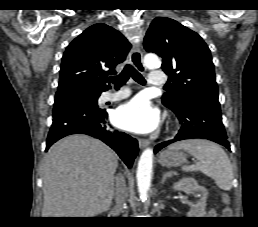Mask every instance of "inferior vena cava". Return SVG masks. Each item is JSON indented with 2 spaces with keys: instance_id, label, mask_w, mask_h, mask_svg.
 <instances>
[{
  "instance_id": "obj_1",
  "label": "inferior vena cava",
  "mask_w": 258,
  "mask_h": 227,
  "mask_svg": "<svg viewBox=\"0 0 258 227\" xmlns=\"http://www.w3.org/2000/svg\"><path fill=\"white\" fill-rule=\"evenodd\" d=\"M116 192H115V202L116 208L122 210L125 204V196H126V184L125 180L122 176L116 178Z\"/></svg>"
}]
</instances>
